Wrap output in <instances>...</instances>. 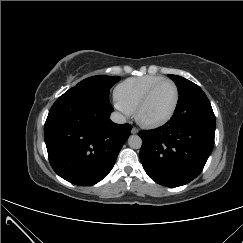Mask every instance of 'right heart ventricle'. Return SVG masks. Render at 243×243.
Returning <instances> with one entry per match:
<instances>
[{
    "mask_svg": "<svg viewBox=\"0 0 243 243\" xmlns=\"http://www.w3.org/2000/svg\"><path fill=\"white\" fill-rule=\"evenodd\" d=\"M163 79L165 78L160 75L128 78L116 86L114 90L116 101L132 113L148 89Z\"/></svg>",
    "mask_w": 243,
    "mask_h": 243,
    "instance_id": "obj_1",
    "label": "right heart ventricle"
}]
</instances>
